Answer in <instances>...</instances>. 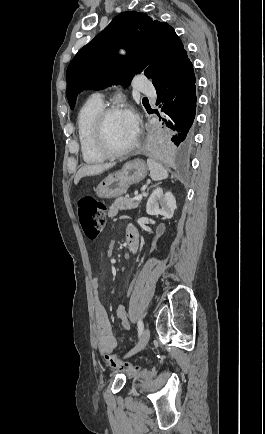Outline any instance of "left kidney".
<instances>
[{
  "label": "left kidney",
  "instance_id": "1",
  "mask_svg": "<svg viewBox=\"0 0 265 434\" xmlns=\"http://www.w3.org/2000/svg\"><path fill=\"white\" fill-rule=\"evenodd\" d=\"M176 200L171 192H163L162 188H156L152 192L146 206V212L149 216H164V218H173L176 210Z\"/></svg>",
  "mask_w": 265,
  "mask_h": 434
}]
</instances>
